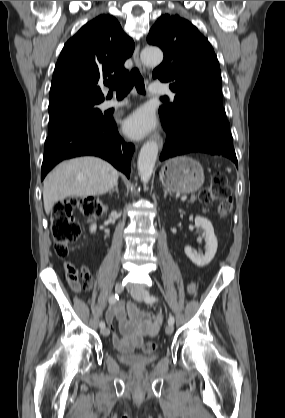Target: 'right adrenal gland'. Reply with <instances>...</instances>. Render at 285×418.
Wrapping results in <instances>:
<instances>
[{"label":"right adrenal gland","instance_id":"1","mask_svg":"<svg viewBox=\"0 0 285 418\" xmlns=\"http://www.w3.org/2000/svg\"><path fill=\"white\" fill-rule=\"evenodd\" d=\"M114 191H116V193H117V194H119V191H118V184H116V185H115V188H114V189H112V190L109 192V194L113 193Z\"/></svg>","mask_w":285,"mask_h":418}]
</instances>
